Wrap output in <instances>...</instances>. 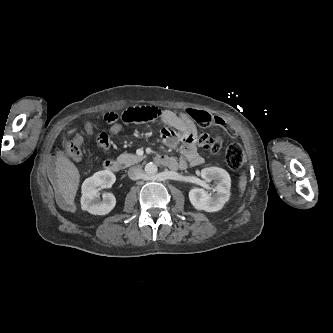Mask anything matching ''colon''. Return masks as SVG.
<instances>
[{
    "label": "colon",
    "instance_id": "colon-1",
    "mask_svg": "<svg viewBox=\"0 0 333 333\" xmlns=\"http://www.w3.org/2000/svg\"><path fill=\"white\" fill-rule=\"evenodd\" d=\"M160 116L161 111L156 107L132 106L126 109L120 116L113 112L106 113L104 119L109 123L116 122L120 119L134 125L139 122L156 120ZM87 129H89V126H87ZM196 140L200 146L204 147L210 153H216L222 146L221 137H212L206 132H199L196 135ZM97 144L100 148L107 149L111 144V140L107 134L103 133L98 136ZM63 148L65 152L71 156H78L80 154L81 139L74 130L70 131L67 137L64 138ZM225 159L230 169L234 171L239 170L245 162L242 146L239 143L230 144L226 149Z\"/></svg>",
    "mask_w": 333,
    "mask_h": 333
}]
</instances>
